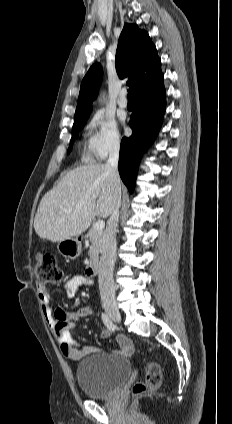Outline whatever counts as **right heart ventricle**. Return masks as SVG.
<instances>
[{
    "label": "right heart ventricle",
    "instance_id": "right-heart-ventricle-1",
    "mask_svg": "<svg viewBox=\"0 0 232 424\" xmlns=\"http://www.w3.org/2000/svg\"><path fill=\"white\" fill-rule=\"evenodd\" d=\"M81 144H82V146H84V147H85L86 145H88V144H89V140H87V139H83V141L81 142ZM82 159H83L85 162H91V161H92V158H91V156H90L89 152H87V151H84V152H83Z\"/></svg>",
    "mask_w": 232,
    "mask_h": 424
}]
</instances>
